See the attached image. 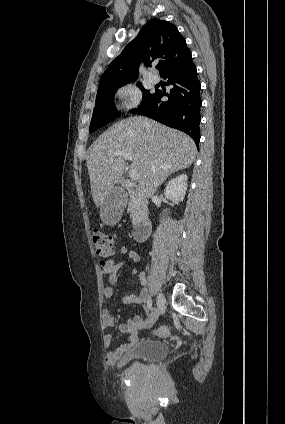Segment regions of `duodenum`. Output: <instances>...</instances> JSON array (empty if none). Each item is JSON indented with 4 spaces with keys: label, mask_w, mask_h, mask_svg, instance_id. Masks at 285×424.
Returning <instances> with one entry per match:
<instances>
[{
    "label": "duodenum",
    "mask_w": 285,
    "mask_h": 424,
    "mask_svg": "<svg viewBox=\"0 0 285 424\" xmlns=\"http://www.w3.org/2000/svg\"><path fill=\"white\" fill-rule=\"evenodd\" d=\"M124 186L128 190H133L135 187L129 181H124ZM152 221L148 212L142 214L141 219L139 220L135 230H134V239L138 243L145 242L151 233Z\"/></svg>",
    "instance_id": "obj_1"
}]
</instances>
